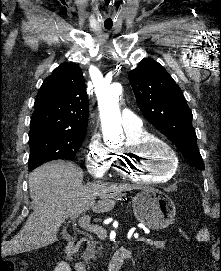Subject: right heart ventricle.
<instances>
[{"mask_svg":"<svg viewBox=\"0 0 221 271\" xmlns=\"http://www.w3.org/2000/svg\"><path fill=\"white\" fill-rule=\"evenodd\" d=\"M150 135L151 133L147 130L130 134L124 144H149ZM163 165L165 167L168 165L171 167L173 164L171 162L169 164L165 162ZM149 174L151 176H149ZM149 174H139L136 171L134 174H130V179H133L134 183H171L172 181L171 174H154L152 171ZM120 179H129V174H120Z\"/></svg>","mask_w":221,"mask_h":271,"instance_id":"1","label":"right heart ventricle"}]
</instances>
